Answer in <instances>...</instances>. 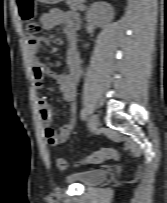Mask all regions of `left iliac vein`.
<instances>
[{
    "instance_id": "4c4485c4",
    "label": "left iliac vein",
    "mask_w": 167,
    "mask_h": 203,
    "mask_svg": "<svg viewBox=\"0 0 167 203\" xmlns=\"http://www.w3.org/2000/svg\"><path fill=\"white\" fill-rule=\"evenodd\" d=\"M98 126H99V118L96 114H93L88 121V128L90 132L95 133Z\"/></svg>"
}]
</instances>
